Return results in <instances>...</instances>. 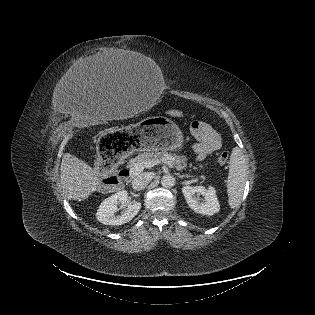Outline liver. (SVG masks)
<instances>
[{"instance_id":"6515ba94","label":"liver","mask_w":315,"mask_h":315,"mask_svg":"<svg viewBox=\"0 0 315 315\" xmlns=\"http://www.w3.org/2000/svg\"><path fill=\"white\" fill-rule=\"evenodd\" d=\"M124 55V52L93 55L83 60L78 69L83 73L86 70L97 73L100 70L105 72L119 69V59ZM124 114H127V111L124 110ZM60 172L62 188L67 199L84 200L100 188L101 179L98 169L92 168L70 153L63 155Z\"/></svg>"}]
</instances>
